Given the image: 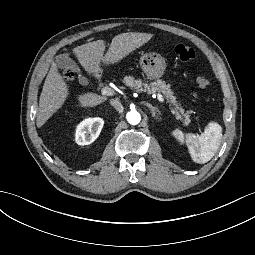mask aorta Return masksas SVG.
<instances>
[{
  "label": "aorta",
  "instance_id": "aorta-1",
  "mask_svg": "<svg viewBox=\"0 0 255 255\" xmlns=\"http://www.w3.org/2000/svg\"><path fill=\"white\" fill-rule=\"evenodd\" d=\"M127 121L131 124V125H136L140 122L141 120V116L137 111H130L127 113L126 115Z\"/></svg>",
  "mask_w": 255,
  "mask_h": 255
}]
</instances>
